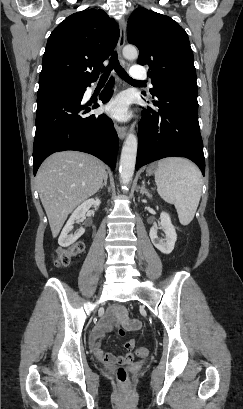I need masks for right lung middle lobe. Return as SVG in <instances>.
<instances>
[{"label": "right lung middle lobe", "instance_id": "right-lung-middle-lobe-1", "mask_svg": "<svg viewBox=\"0 0 243 409\" xmlns=\"http://www.w3.org/2000/svg\"><path fill=\"white\" fill-rule=\"evenodd\" d=\"M83 86L84 84L63 77L39 79V90L37 96L54 91L78 90Z\"/></svg>", "mask_w": 243, "mask_h": 409}]
</instances>
